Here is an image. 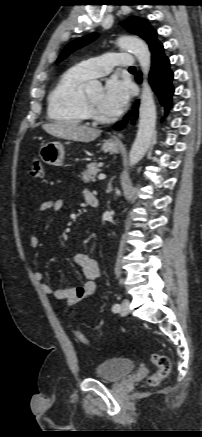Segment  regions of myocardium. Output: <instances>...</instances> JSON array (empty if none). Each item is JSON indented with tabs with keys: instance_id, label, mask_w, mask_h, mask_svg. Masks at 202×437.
I'll use <instances>...</instances> for the list:
<instances>
[{
	"instance_id": "f54148a6",
	"label": "myocardium",
	"mask_w": 202,
	"mask_h": 437,
	"mask_svg": "<svg viewBox=\"0 0 202 437\" xmlns=\"http://www.w3.org/2000/svg\"><path fill=\"white\" fill-rule=\"evenodd\" d=\"M83 103L88 116L101 121L106 120L100 109L89 100L85 93H83Z\"/></svg>"
}]
</instances>
